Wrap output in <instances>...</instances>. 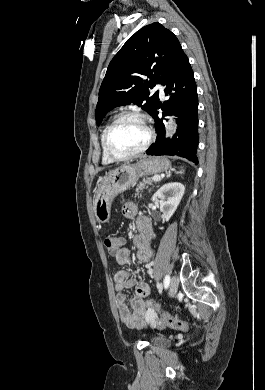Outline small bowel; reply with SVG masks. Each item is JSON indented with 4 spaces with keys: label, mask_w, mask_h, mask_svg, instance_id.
Here are the masks:
<instances>
[{
    "label": "small bowel",
    "mask_w": 265,
    "mask_h": 390,
    "mask_svg": "<svg viewBox=\"0 0 265 390\" xmlns=\"http://www.w3.org/2000/svg\"><path fill=\"white\" fill-rule=\"evenodd\" d=\"M123 215L128 219L137 218L136 226L138 234L134 237L133 243L137 248L136 259L142 263H150L153 250L150 246L152 228L149 220L144 216H138V208L133 203H126L122 208ZM125 239L118 237V249L113 254L115 264L126 266L131 261L130 250L124 247ZM116 295V306L121 321L128 327H137L152 315L146 309L145 300L150 294V287L145 282H139L128 269H120L114 275ZM134 289V298L129 305L125 294L126 289ZM154 326L159 327L155 322Z\"/></svg>",
    "instance_id": "small-bowel-1"
}]
</instances>
